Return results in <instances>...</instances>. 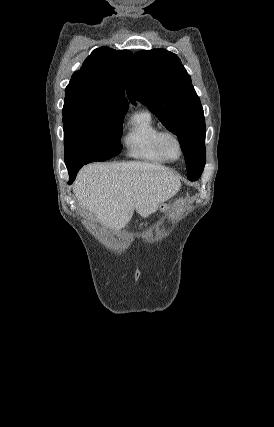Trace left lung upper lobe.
I'll use <instances>...</instances> for the list:
<instances>
[{
  "mask_svg": "<svg viewBox=\"0 0 274 427\" xmlns=\"http://www.w3.org/2000/svg\"><path fill=\"white\" fill-rule=\"evenodd\" d=\"M131 103L139 100L177 135L187 176L199 177L205 165V119L200 99L180 59L164 49L141 50L127 78Z\"/></svg>",
  "mask_w": 274,
  "mask_h": 427,
  "instance_id": "obj_1",
  "label": "left lung upper lobe"
}]
</instances>
